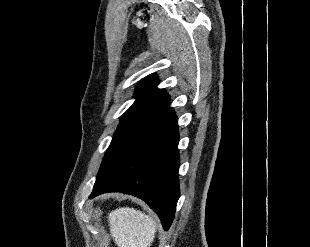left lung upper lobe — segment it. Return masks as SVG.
I'll list each match as a JSON object with an SVG mask.
<instances>
[{
	"instance_id": "5c2ea615",
	"label": "left lung upper lobe",
	"mask_w": 310,
	"mask_h": 247,
	"mask_svg": "<svg viewBox=\"0 0 310 247\" xmlns=\"http://www.w3.org/2000/svg\"><path fill=\"white\" fill-rule=\"evenodd\" d=\"M157 84L155 75H149L138 84L134 94L136 101L122 115L103 158L97 179L136 136L168 112L170 97L164 89H157Z\"/></svg>"
}]
</instances>
